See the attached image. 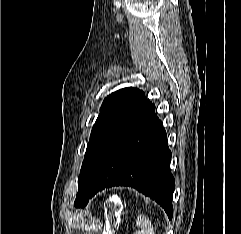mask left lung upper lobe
Here are the masks:
<instances>
[{"label":"left lung upper lobe","instance_id":"1","mask_svg":"<svg viewBox=\"0 0 241 234\" xmlns=\"http://www.w3.org/2000/svg\"><path fill=\"white\" fill-rule=\"evenodd\" d=\"M144 98V92L124 88L110 94L103 102L92 128L84 161L78 178V193L74 205L82 206L89 185L123 124Z\"/></svg>","mask_w":241,"mask_h":234}]
</instances>
